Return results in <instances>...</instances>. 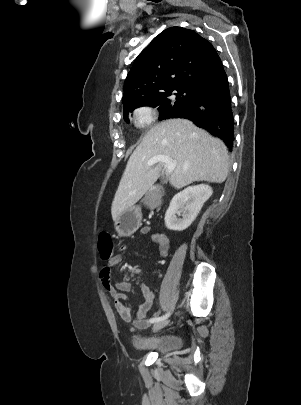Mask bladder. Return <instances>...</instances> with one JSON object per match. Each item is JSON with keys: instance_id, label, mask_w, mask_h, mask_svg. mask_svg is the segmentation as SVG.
Here are the masks:
<instances>
[{"instance_id": "31cf9c89", "label": "bladder", "mask_w": 301, "mask_h": 405, "mask_svg": "<svg viewBox=\"0 0 301 405\" xmlns=\"http://www.w3.org/2000/svg\"><path fill=\"white\" fill-rule=\"evenodd\" d=\"M132 345L138 352L167 355L180 348L181 340L178 336L172 333L161 334L149 338L135 335L132 340Z\"/></svg>"}]
</instances>
